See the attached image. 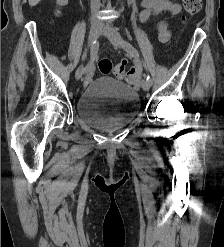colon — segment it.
<instances>
[{"mask_svg": "<svg viewBox=\"0 0 224 247\" xmlns=\"http://www.w3.org/2000/svg\"><path fill=\"white\" fill-rule=\"evenodd\" d=\"M67 0H56L59 8L66 4ZM183 6L186 13L185 19L197 14L202 8V0H183ZM99 71L102 74L113 73L119 79H125L128 83L134 84L137 81V74L131 70L126 71L122 64L113 67L111 60L104 56L98 62Z\"/></svg>", "mask_w": 224, "mask_h": 247, "instance_id": "5ec220e1", "label": "colon"}]
</instances>
